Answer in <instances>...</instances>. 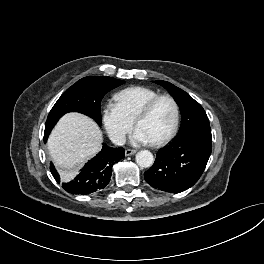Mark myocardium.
Returning a JSON list of instances; mask_svg holds the SVG:
<instances>
[{"mask_svg":"<svg viewBox=\"0 0 264 264\" xmlns=\"http://www.w3.org/2000/svg\"><path fill=\"white\" fill-rule=\"evenodd\" d=\"M162 99H168L173 107H174V121H173V125L170 129V131L161 139L156 140V141H152V145L154 146H161L164 145L166 143H168L177 133L178 127H179V122H180V108H179V104L176 101V99L169 95V94H159L157 96H155L154 98L150 99L143 107L142 109L138 112V114L136 115L135 119H134V124L135 126L138 125V123L146 118L151 111L153 110V108L155 107V105Z\"/></svg>","mask_w":264,"mask_h":264,"instance_id":"1","label":"myocardium"}]
</instances>
